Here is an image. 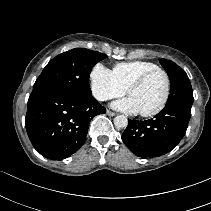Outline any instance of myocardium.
Listing matches in <instances>:
<instances>
[{
  "label": "myocardium",
  "mask_w": 211,
  "mask_h": 211,
  "mask_svg": "<svg viewBox=\"0 0 211 211\" xmlns=\"http://www.w3.org/2000/svg\"><path fill=\"white\" fill-rule=\"evenodd\" d=\"M156 73H161L165 77V80H166L165 94H164L163 100L155 109L148 111V112H139V114L142 117H153V116L159 114L165 108V106L169 100L170 92H171V78H170L168 72L161 68H156V69L150 70V71L144 73L143 75H141L138 79H136L127 89V94L130 95L133 90L141 87L151 76H153Z\"/></svg>",
  "instance_id": "f54148a6"
}]
</instances>
